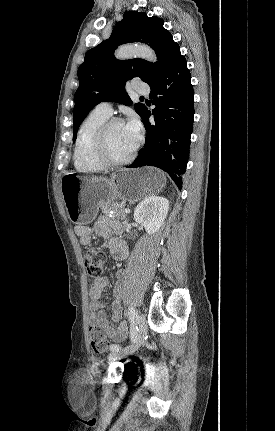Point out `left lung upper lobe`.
Instances as JSON below:
<instances>
[{"mask_svg": "<svg viewBox=\"0 0 275 431\" xmlns=\"http://www.w3.org/2000/svg\"><path fill=\"white\" fill-rule=\"evenodd\" d=\"M163 23L162 19L148 17L145 13L126 12L110 38L86 53L78 69L80 83L74 96L73 141L76 140L83 119L101 101L119 102L127 106L132 104L125 91L127 80L140 77L148 83L161 72L172 49L178 45L164 29ZM130 42L148 44L155 50L158 63L143 59L116 60L113 53L117 46ZM134 108L142 118L146 106L137 103Z\"/></svg>", "mask_w": 275, "mask_h": 431, "instance_id": "obj_1", "label": "left lung upper lobe"}]
</instances>
